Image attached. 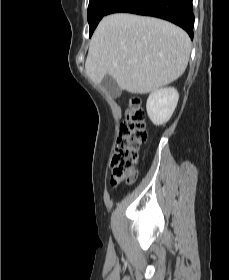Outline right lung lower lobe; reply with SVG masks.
<instances>
[{"label":"right lung lower lobe","mask_w":229,"mask_h":280,"mask_svg":"<svg viewBox=\"0 0 229 280\" xmlns=\"http://www.w3.org/2000/svg\"><path fill=\"white\" fill-rule=\"evenodd\" d=\"M116 12L135 13L168 20L182 27L193 39L192 0H115L107 14Z\"/></svg>","instance_id":"98d812e1"}]
</instances>
